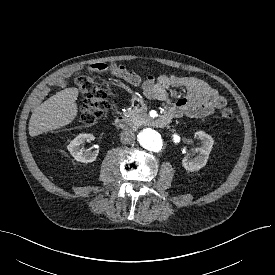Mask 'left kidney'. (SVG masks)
I'll use <instances>...</instances> for the list:
<instances>
[{
	"label": "left kidney",
	"mask_w": 275,
	"mask_h": 275,
	"mask_svg": "<svg viewBox=\"0 0 275 275\" xmlns=\"http://www.w3.org/2000/svg\"><path fill=\"white\" fill-rule=\"evenodd\" d=\"M195 137L202 141V145L198 148L197 155L194 158H190L188 156L183 158L182 166L188 172L199 171L206 165L214 144L213 138L203 131H197L195 133Z\"/></svg>",
	"instance_id": "5707ae66"
}]
</instances>
